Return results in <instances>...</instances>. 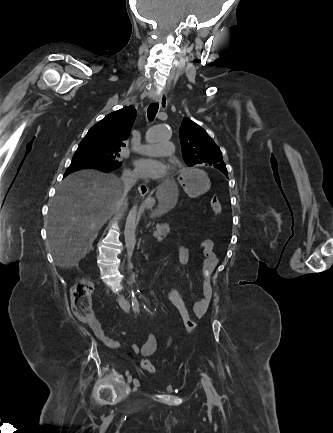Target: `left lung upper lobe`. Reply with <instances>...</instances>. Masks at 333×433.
Returning <instances> with one entry per match:
<instances>
[{
	"label": "left lung upper lobe",
	"instance_id": "1",
	"mask_svg": "<svg viewBox=\"0 0 333 433\" xmlns=\"http://www.w3.org/2000/svg\"><path fill=\"white\" fill-rule=\"evenodd\" d=\"M179 134L183 158L188 166L205 163L220 166V171L227 176L221 151L205 130L191 119L184 118Z\"/></svg>",
	"mask_w": 333,
	"mask_h": 433
}]
</instances>
